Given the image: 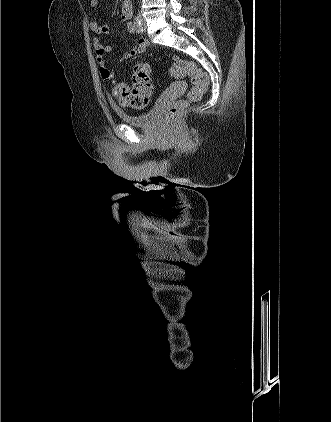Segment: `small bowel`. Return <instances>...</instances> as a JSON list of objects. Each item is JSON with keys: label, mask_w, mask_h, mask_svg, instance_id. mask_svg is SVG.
I'll return each mask as SVG.
<instances>
[{"label": "small bowel", "mask_w": 331, "mask_h": 422, "mask_svg": "<svg viewBox=\"0 0 331 422\" xmlns=\"http://www.w3.org/2000/svg\"><path fill=\"white\" fill-rule=\"evenodd\" d=\"M98 0H90V6L96 8L98 6ZM121 20L125 22L126 31L130 34L136 32L134 22H132V6L129 0H123L121 5ZM90 30L96 35L92 43L95 49V56L99 67V72L103 80L111 81L114 78V71L110 66V62L107 59V54L112 51L110 45H104L101 43L99 36L108 34L110 29L109 26L104 22H98L91 20L89 23ZM147 47V41L144 38L138 37L134 40V47L124 52L120 57L119 61L129 60L142 54ZM122 104H127L125 101L120 100Z\"/></svg>", "instance_id": "1"}]
</instances>
